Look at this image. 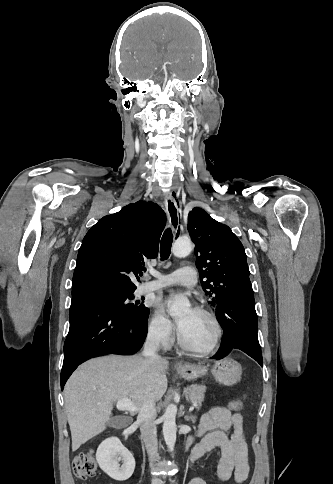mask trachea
<instances>
[{
  "mask_svg": "<svg viewBox=\"0 0 333 484\" xmlns=\"http://www.w3.org/2000/svg\"><path fill=\"white\" fill-rule=\"evenodd\" d=\"M173 242V234L170 228H167L161 238L160 243V256L161 260H166L169 258L171 253V246Z\"/></svg>",
  "mask_w": 333,
  "mask_h": 484,
  "instance_id": "1",
  "label": "trachea"
}]
</instances>
